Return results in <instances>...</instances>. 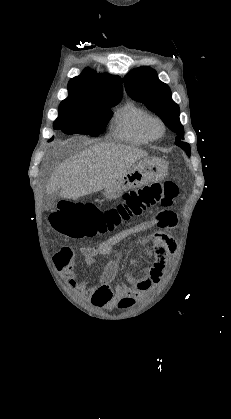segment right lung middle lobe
<instances>
[{
	"label": "right lung middle lobe",
	"instance_id": "right-lung-middle-lobe-1",
	"mask_svg": "<svg viewBox=\"0 0 231 419\" xmlns=\"http://www.w3.org/2000/svg\"><path fill=\"white\" fill-rule=\"evenodd\" d=\"M120 99L106 101L63 100L59 105V116L53 127L66 134H86L96 137L105 131L112 116L110 107L116 105Z\"/></svg>",
	"mask_w": 231,
	"mask_h": 419
}]
</instances>
